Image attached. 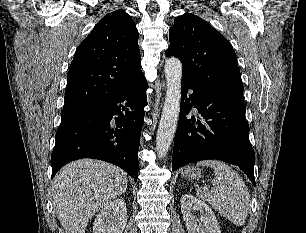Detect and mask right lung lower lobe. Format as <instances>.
Here are the masks:
<instances>
[{"instance_id": "right-lung-lower-lobe-1", "label": "right lung lower lobe", "mask_w": 306, "mask_h": 233, "mask_svg": "<svg viewBox=\"0 0 306 233\" xmlns=\"http://www.w3.org/2000/svg\"><path fill=\"white\" fill-rule=\"evenodd\" d=\"M147 88L142 74L112 98L61 112L51 178L73 160L94 158L121 167L137 181Z\"/></svg>"}]
</instances>
